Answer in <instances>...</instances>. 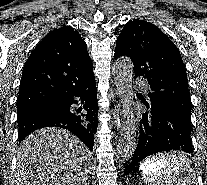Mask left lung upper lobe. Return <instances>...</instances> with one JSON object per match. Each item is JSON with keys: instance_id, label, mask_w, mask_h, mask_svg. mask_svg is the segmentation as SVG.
<instances>
[{"instance_id": "obj_1", "label": "left lung upper lobe", "mask_w": 207, "mask_h": 185, "mask_svg": "<svg viewBox=\"0 0 207 185\" xmlns=\"http://www.w3.org/2000/svg\"><path fill=\"white\" fill-rule=\"evenodd\" d=\"M128 56L135 77L147 79L150 102L174 107L191 119V98L186 68L174 43L154 24L133 19L125 24L116 41L114 58Z\"/></svg>"}]
</instances>
